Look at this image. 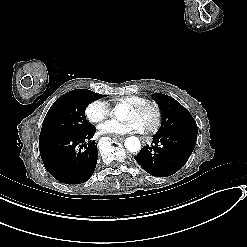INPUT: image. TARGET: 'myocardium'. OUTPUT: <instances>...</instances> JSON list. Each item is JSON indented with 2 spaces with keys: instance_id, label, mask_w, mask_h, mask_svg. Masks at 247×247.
Masks as SVG:
<instances>
[{
  "instance_id": "f54148a6",
  "label": "myocardium",
  "mask_w": 247,
  "mask_h": 247,
  "mask_svg": "<svg viewBox=\"0 0 247 247\" xmlns=\"http://www.w3.org/2000/svg\"><path fill=\"white\" fill-rule=\"evenodd\" d=\"M151 106L155 111V121L153 126L145 132L146 135H153L158 132L162 122V109L158 101L154 99H143L137 104L127 105V107L135 112L143 110L145 107Z\"/></svg>"
}]
</instances>
